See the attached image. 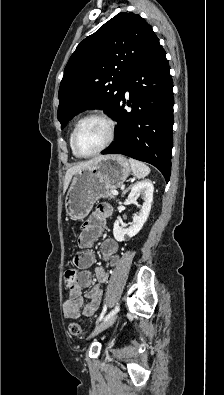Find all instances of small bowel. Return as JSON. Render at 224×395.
I'll return each mask as SVG.
<instances>
[{"instance_id":"small-bowel-1","label":"small bowel","mask_w":224,"mask_h":395,"mask_svg":"<svg viewBox=\"0 0 224 395\" xmlns=\"http://www.w3.org/2000/svg\"><path fill=\"white\" fill-rule=\"evenodd\" d=\"M108 204H101L96 212L92 214L84 224L79 237V245L83 249L73 257V262L80 269L74 288L70 292L69 299L63 305L64 315L67 319L78 318L82 310L83 315L90 317L99 308L102 290L100 284L108 279V273L104 266L95 269L97 284L90 287L92 274L88 269L96 262L95 254L90 247L98 240L103 232L107 217L111 214ZM101 256L105 263L115 266L119 262L118 244L112 239H105L100 246ZM90 289L83 296V290ZM86 300V302H85Z\"/></svg>"}]
</instances>
